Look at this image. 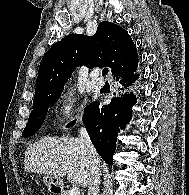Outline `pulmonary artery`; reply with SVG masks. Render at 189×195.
I'll return each instance as SVG.
<instances>
[{
    "label": "pulmonary artery",
    "instance_id": "pulmonary-artery-1",
    "mask_svg": "<svg viewBox=\"0 0 189 195\" xmlns=\"http://www.w3.org/2000/svg\"><path fill=\"white\" fill-rule=\"evenodd\" d=\"M90 83L94 89H100L104 85V82L100 79L98 73H94L91 75V82Z\"/></svg>",
    "mask_w": 189,
    "mask_h": 195
}]
</instances>
